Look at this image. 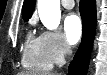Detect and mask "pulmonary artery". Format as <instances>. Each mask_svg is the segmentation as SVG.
Masks as SVG:
<instances>
[{"mask_svg":"<svg viewBox=\"0 0 107 75\" xmlns=\"http://www.w3.org/2000/svg\"><path fill=\"white\" fill-rule=\"evenodd\" d=\"M63 7L66 9H72L74 7V1L73 0H62L61 1Z\"/></svg>","mask_w":107,"mask_h":75,"instance_id":"1","label":"pulmonary artery"}]
</instances>
